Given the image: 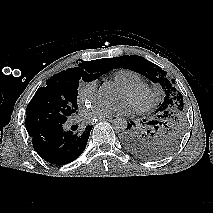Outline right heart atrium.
Listing matches in <instances>:
<instances>
[{"label":"right heart atrium","instance_id":"obj_1","mask_svg":"<svg viewBox=\"0 0 213 213\" xmlns=\"http://www.w3.org/2000/svg\"><path fill=\"white\" fill-rule=\"evenodd\" d=\"M97 97V82L95 80L81 82L78 87L77 100L79 103L88 105Z\"/></svg>","mask_w":213,"mask_h":213}]
</instances>
